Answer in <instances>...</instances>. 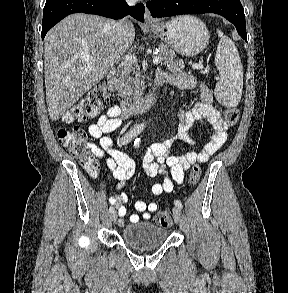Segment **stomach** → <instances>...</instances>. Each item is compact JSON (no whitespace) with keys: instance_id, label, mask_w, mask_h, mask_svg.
<instances>
[{"instance_id":"0dacf381","label":"stomach","mask_w":288,"mask_h":293,"mask_svg":"<svg viewBox=\"0 0 288 293\" xmlns=\"http://www.w3.org/2000/svg\"><path fill=\"white\" fill-rule=\"evenodd\" d=\"M149 28L179 54L187 57L202 52L210 39L206 25L191 15L178 16L167 22H157Z\"/></svg>"}]
</instances>
